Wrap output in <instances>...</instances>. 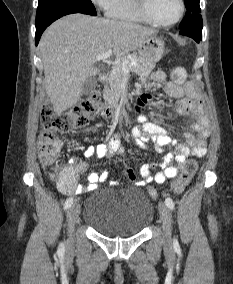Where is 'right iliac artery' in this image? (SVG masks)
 Segmentation results:
<instances>
[{
	"label": "right iliac artery",
	"mask_w": 233,
	"mask_h": 284,
	"mask_svg": "<svg viewBox=\"0 0 233 284\" xmlns=\"http://www.w3.org/2000/svg\"><path fill=\"white\" fill-rule=\"evenodd\" d=\"M73 204V198H67L65 203H64V209L67 210L68 208H70ZM63 244L60 245L59 250H63Z\"/></svg>",
	"instance_id": "right-iliac-artery-1"
}]
</instances>
